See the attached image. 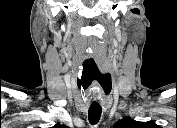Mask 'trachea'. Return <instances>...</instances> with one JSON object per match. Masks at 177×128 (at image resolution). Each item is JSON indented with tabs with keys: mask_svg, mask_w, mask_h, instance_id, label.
<instances>
[{
	"mask_svg": "<svg viewBox=\"0 0 177 128\" xmlns=\"http://www.w3.org/2000/svg\"><path fill=\"white\" fill-rule=\"evenodd\" d=\"M102 113L101 106H90L88 111V119L90 124L95 125L99 122Z\"/></svg>",
	"mask_w": 177,
	"mask_h": 128,
	"instance_id": "obj_1",
	"label": "trachea"
}]
</instances>
